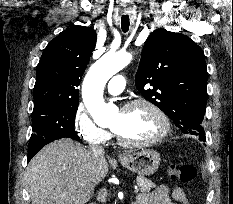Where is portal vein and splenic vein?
Segmentation results:
<instances>
[{"label": "portal vein and splenic vein", "instance_id": "portal-vein-and-splenic-vein-1", "mask_svg": "<svg viewBox=\"0 0 233 204\" xmlns=\"http://www.w3.org/2000/svg\"><path fill=\"white\" fill-rule=\"evenodd\" d=\"M139 191V189L137 187H135L134 192L137 193Z\"/></svg>", "mask_w": 233, "mask_h": 204}]
</instances>
